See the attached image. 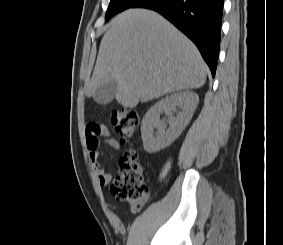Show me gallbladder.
<instances>
[{
	"instance_id": "gallbladder-1",
	"label": "gallbladder",
	"mask_w": 283,
	"mask_h": 245,
	"mask_svg": "<svg viewBox=\"0 0 283 245\" xmlns=\"http://www.w3.org/2000/svg\"><path fill=\"white\" fill-rule=\"evenodd\" d=\"M116 89L117 83L115 81H109L95 90L93 98L98 104H108L113 100Z\"/></svg>"
}]
</instances>
